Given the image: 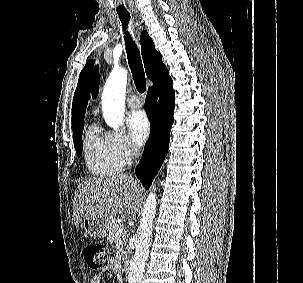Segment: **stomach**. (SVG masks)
<instances>
[{
    "label": "stomach",
    "instance_id": "1",
    "mask_svg": "<svg viewBox=\"0 0 303 283\" xmlns=\"http://www.w3.org/2000/svg\"><path fill=\"white\" fill-rule=\"evenodd\" d=\"M113 220L108 218H85L82 220L84 234L91 238H104L111 231Z\"/></svg>",
    "mask_w": 303,
    "mask_h": 283
}]
</instances>
